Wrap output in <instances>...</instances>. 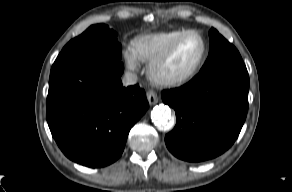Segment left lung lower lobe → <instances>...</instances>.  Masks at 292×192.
Wrapping results in <instances>:
<instances>
[{
	"instance_id": "left-lung-lower-lobe-1",
	"label": "left lung lower lobe",
	"mask_w": 292,
	"mask_h": 192,
	"mask_svg": "<svg viewBox=\"0 0 292 192\" xmlns=\"http://www.w3.org/2000/svg\"><path fill=\"white\" fill-rule=\"evenodd\" d=\"M249 76L245 65L199 72L187 84L162 92L174 108L176 126L165 136L177 158L201 162L215 158L237 139L248 110Z\"/></svg>"
}]
</instances>
